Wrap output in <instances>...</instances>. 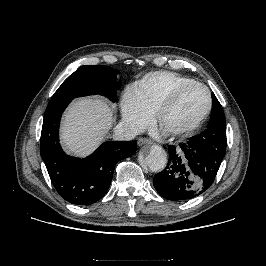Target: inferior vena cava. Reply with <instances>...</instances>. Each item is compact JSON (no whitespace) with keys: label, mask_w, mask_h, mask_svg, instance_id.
I'll list each match as a JSON object with an SVG mask.
<instances>
[{"label":"inferior vena cava","mask_w":266,"mask_h":266,"mask_svg":"<svg viewBox=\"0 0 266 266\" xmlns=\"http://www.w3.org/2000/svg\"><path fill=\"white\" fill-rule=\"evenodd\" d=\"M141 132L139 126L122 121L115 127L114 138L116 140H132Z\"/></svg>","instance_id":"inferior-vena-cava-1"}]
</instances>
